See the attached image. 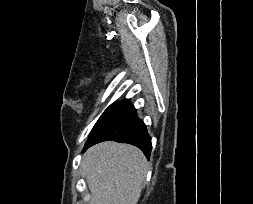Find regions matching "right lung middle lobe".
Segmentation results:
<instances>
[{"label": "right lung middle lobe", "mask_w": 253, "mask_h": 204, "mask_svg": "<svg viewBox=\"0 0 253 204\" xmlns=\"http://www.w3.org/2000/svg\"><path fill=\"white\" fill-rule=\"evenodd\" d=\"M123 101H120V102H115L113 103L112 105H110L106 111L102 114V116L99 118V120L97 121V123L95 124V126L93 127L91 133H90V136L91 134L94 132V130L112 113L114 112L123 102Z\"/></svg>", "instance_id": "right-lung-middle-lobe-1"}]
</instances>
